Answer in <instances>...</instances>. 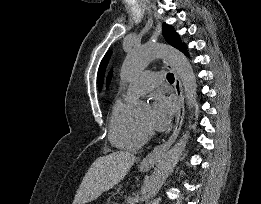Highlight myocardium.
<instances>
[{
    "mask_svg": "<svg viewBox=\"0 0 261 204\" xmlns=\"http://www.w3.org/2000/svg\"><path fill=\"white\" fill-rule=\"evenodd\" d=\"M138 124L141 128V130L144 132L145 135H152L153 132L151 130V128L143 123H141L139 120H138Z\"/></svg>",
    "mask_w": 261,
    "mask_h": 204,
    "instance_id": "myocardium-1",
    "label": "myocardium"
}]
</instances>
